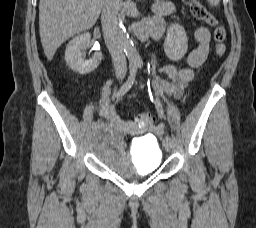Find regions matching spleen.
I'll return each mask as SVG.
<instances>
[{
  "label": "spleen",
  "mask_w": 256,
  "mask_h": 228,
  "mask_svg": "<svg viewBox=\"0 0 256 228\" xmlns=\"http://www.w3.org/2000/svg\"><path fill=\"white\" fill-rule=\"evenodd\" d=\"M219 2H220V0H208V3H209V5L210 6H218L219 5Z\"/></svg>",
  "instance_id": "1"
}]
</instances>
